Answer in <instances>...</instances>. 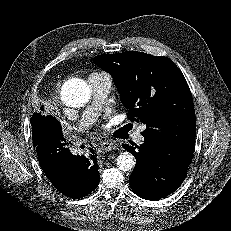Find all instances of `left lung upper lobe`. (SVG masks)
I'll return each instance as SVG.
<instances>
[{
	"instance_id": "left-lung-upper-lobe-1",
	"label": "left lung upper lobe",
	"mask_w": 231,
	"mask_h": 231,
	"mask_svg": "<svg viewBox=\"0 0 231 231\" xmlns=\"http://www.w3.org/2000/svg\"><path fill=\"white\" fill-rule=\"evenodd\" d=\"M93 61L113 77L129 119L146 124L144 138L160 139L176 147L195 144L191 91L171 59L126 51L99 55Z\"/></svg>"
}]
</instances>
